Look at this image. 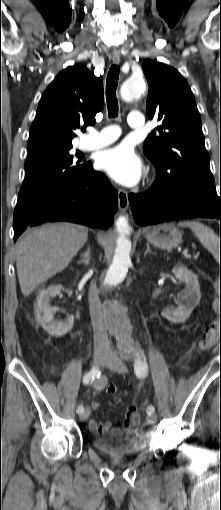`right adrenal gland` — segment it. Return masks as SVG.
<instances>
[{"instance_id": "2a0ac1e0", "label": "right adrenal gland", "mask_w": 221, "mask_h": 510, "mask_svg": "<svg viewBox=\"0 0 221 510\" xmlns=\"http://www.w3.org/2000/svg\"><path fill=\"white\" fill-rule=\"evenodd\" d=\"M90 260H91V249H90V247H88L87 250L85 251V253L82 255V259L79 260L77 263L88 265L90 263Z\"/></svg>"}]
</instances>
